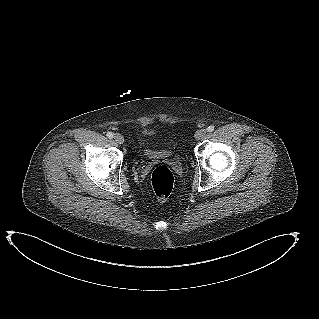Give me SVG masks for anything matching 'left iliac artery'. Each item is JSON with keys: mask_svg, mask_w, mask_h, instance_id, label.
<instances>
[{"mask_svg": "<svg viewBox=\"0 0 319 319\" xmlns=\"http://www.w3.org/2000/svg\"><path fill=\"white\" fill-rule=\"evenodd\" d=\"M208 132H212L213 130H214V126H209V127H207V129H206Z\"/></svg>", "mask_w": 319, "mask_h": 319, "instance_id": "44dca946", "label": "left iliac artery"}]
</instances>
